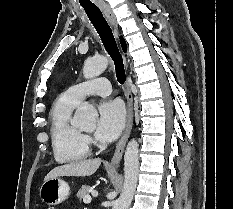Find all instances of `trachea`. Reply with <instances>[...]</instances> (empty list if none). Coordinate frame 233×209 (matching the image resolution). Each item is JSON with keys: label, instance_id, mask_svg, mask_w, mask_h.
Wrapping results in <instances>:
<instances>
[{"label": "trachea", "instance_id": "obj_1", "mask_svg": "<svg viewBox=\"0 0 233 209\" xmlns=\"http://www.w3.org/2000/svg\"><path fill=\"white\" fill-rule=\"evenodd\" d=\"M83 8L89 20L97 30L106 51L114 62L117 81L120 84H124L126 75L123 59L109 24L97 6H83Z\"/></svg>", "mask_w": 233, "mask_h": 209}]
</instances>
